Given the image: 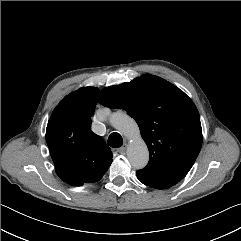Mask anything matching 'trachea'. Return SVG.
Returning <instances> with one entry per match:
<instances>
[{
    "label": "trachea",
    "mask_w": 241,
    "mask_h": 241,
    "mask_svg": "<svg viewBox=\"0 0 241 241\" xmlns=\"http://www.w3.org/2000/svg\"><path fill=\"white\" fill-rule=\"evenodd\" d=\"M107 143L113 148H119L123 145L122 136L117 132H113L109 135Z\"/></svg>",
    "instance_id": "obj_1"
}]
</instances>
